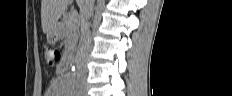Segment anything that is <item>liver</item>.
Listing matches in <instances>:
<instances>
[{
    "label": "liver",
    "mask_w": 232,
    "mask_h": 96,
    "mask_svg": "<svg viewBox=\"0 0 232 96\" xmlns=\"http://www.w3.org/2000/svg\"><path fill=\"white\" fill-rule=\"evenodd\" d=\"M70 0H41V25L48 34L58 25V20L65 12ZM81 4L82 0H78Z\"/></svg>",
    "instance_id": "obj_1"
}]
</instances>
